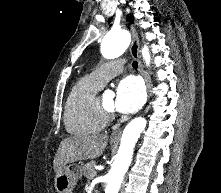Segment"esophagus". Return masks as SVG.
<instances>
[{
    "instance_id": "1",
    "label": "esophagus",
    "mask_w": 221,
    "mask_h": 193,
    "mask_svg": "<svg viewBox=\"0 0 221 193\" xmlns=\"http://www.w3.org/2000/svg\"><path fill=\"white\" fill-rule=\"evenodd\" d=\"M131 35H132V43H131V47H130V52H131V55L133 56V58H135L138 61L139 71L145 80V83H146V86L148 89V94L150 97V90H149L150 85H149L147 75L143 69V65L141 62V58H140V54H139V39H138L136 30L134 29V27H131ZM121 133H122V129L120 128L112 133L111 138L112 139H119L121 136Z\"/></svg>"
}]
</instances>
